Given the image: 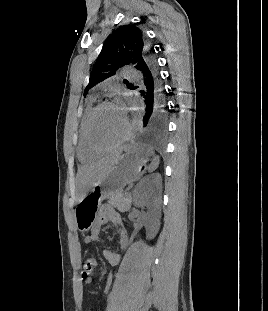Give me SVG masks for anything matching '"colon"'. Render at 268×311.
Here are the masks:
<instances>
[{
    "mask_svg": "<svg viewBox=\"0 0 268 311\" xmlns=\"http://www.w3.org/2000/svg\"><path fill=\"white\" fill-rule=\"evenodd\" d=\"M96 260L93 257H88L83 262V276H89L96 267Z\"/></svg>",
    "mask_w": 268,
    "mask_h": 311,
    "instance_id": "1",
    "label": "colon"
}]
</instances>
